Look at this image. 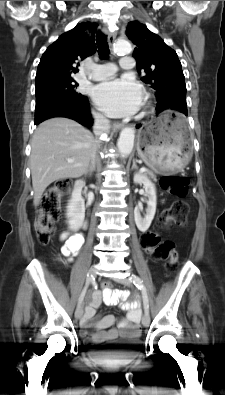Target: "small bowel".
I'll use <instances>...</instances> for the list:
<instances>
[{"instance_id": "small-bowel-1", "label": "small bowel", "mask_w": 225, "mask_h": 395, "mask_svg": "<svg viewBox=\"0 0 225 395\" xmlns=\"http://www.w3.org/2000/svg\"><path fill=\"white\" fill-rule=\"evenodd\" d=\"M62 240L64 244L62 246V254L64 256H71L77 253L84 242V238L81 234H63ZM128 293L123 290H113L112 288H103L101 292H95L92 296V300L89 305L85 308V312L81 321L83 328H94L95 332L92 334L93 342L101 344L105 341L112 340L118 335L135 338L140 335L139 319L140 309L134 302L126 301ZM104 302L109 305L119 304L120 308L127 312V317L122 319L118 324L117 329H111L110 327L114 324L115 318L113 316H105L92 323V319L95 316L97 308ZM83 337H87L86 332H82Z\"/></svg>"}]
</instances>
